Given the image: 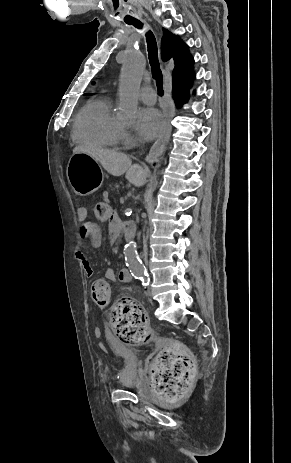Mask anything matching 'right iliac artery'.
Listing matches in <instances>:
<instances>
[{"instance_id": "82829eb1", "label": "right iliac artery", "mask_w": 291, "mask_h": 463, "mask_svg": "<svg viewBox=\"0 0 291 463\" xmlns=\"http://www.w3.org/2000/svg\"><path fill=\"white\" fill-rule=\"evenodd\" d=\"M139 279L141 280L142 285H143L144 287H147V286L149 285L150 278H149L148 276L139 277Z\"/></svg>"}]
</instances>
